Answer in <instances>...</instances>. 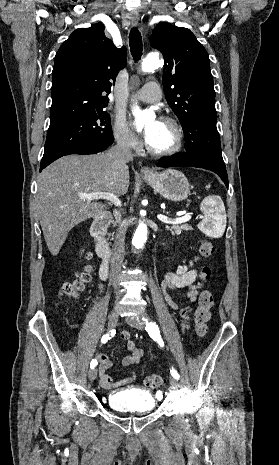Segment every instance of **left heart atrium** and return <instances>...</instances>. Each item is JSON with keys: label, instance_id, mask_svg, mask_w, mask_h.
<instances>
[{"label": "left heart atrium", "instance_id": "left-heart-atrium-1", "mask_svg": "<svg viewBox=\"0 0 279 465\" xmlns=\"http://www.w3.org/2000/svg\"><path fill=\"white\" fill-rule=\"evenodd\" d=\"M148 137H149V132L146 131V132H145V138H146V140L148 139Z\"/></svg>", "mask_w": 279, "mask_h": 465}]
</instances>
